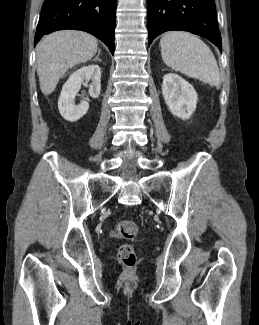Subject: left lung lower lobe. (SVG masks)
<instances>
[{
  "instance_id": "left-lung-lower-lobe-1",
  "label": "left lung lower lobe",
  "mask_w": 259,
  "mask_h": 325,
  "mask_svg": "<svg viewBox=\"0 0 259 325\" xmlns=\"http://www.w3.org/2000/svg\"><path fill=\"white\" fill-rule=\"evenodd\" d=\"M214 0H147L148 42L166 31H188L221 49Z\"/></svg>"
}]
</instances>
